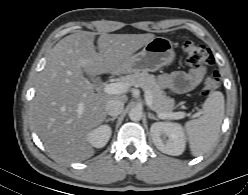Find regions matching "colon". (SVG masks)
<instances>
[{
    "mask_svg": "<svg viewBox=\"0 0 248 195\" xmlns=\"http://www.w3.org/2000/svg\"><path fill=\"white\" fill-rule=\"evenodd\" d=\"M186 63L194 68L212 66L215 62L212 52L205 46L194 41H186L182 46ZM221 78L217 71L208 74L202 84V95L209 96L220 85Z\"/></svg>",
    "mask_w": 248,
    "mask_h": 195,
    "instance_id": "colon-1",
    "label": "colon"
}]
</instances>
